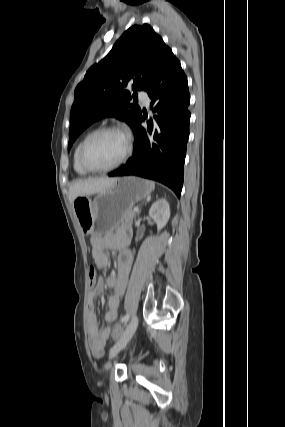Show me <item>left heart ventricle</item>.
<instances>
[{
    "label": "left heart ventricle",
    "instance_id": "b2bd125f",
    "mask_svg": "<svg viewBox=\"0 0 285 427\" xmlns=\"http://www.w3.org/2000/svg\"><path fill=\"white\" fill-rule=\"evenodd\" d=\"M127 147L125 135L118 132L103 134L93 141L87 149V162L93 167H106L124 154Z\"/></svg>",
    "mask_w": 285,
    "mask_h": 427
}]
</instances>
